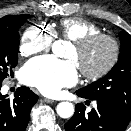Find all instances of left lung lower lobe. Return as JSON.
<instances>
[{
    "label": "left lung lower lobe",
    "instance_id": "obj_1",
    "mask_svg": "<svg viewBox=\"0 0 131 131\" xmlns=\"http://www.w3.org/2000/svg\"><path fill=\"white\" fill-rule=\"evenodd\" d=\"M78 96L86 98L79 91ZM97 108L85 114V106L78 103L73 117L64 125L66 131H124L131 114L115 103L95 99Z\"/></svg>",
    "mask_w": 131,
    "mask_h": 131
}]
</instances>
